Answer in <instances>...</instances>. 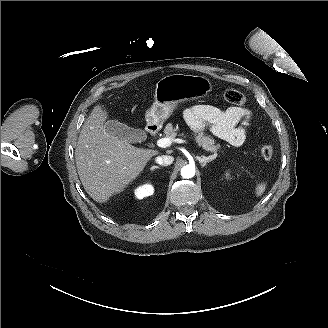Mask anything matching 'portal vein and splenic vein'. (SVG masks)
Listing matches in <instances>:
<instances>
[{
	"label": "portal vein and splenic vein",
	"instance_id": "18ae733b",
	"mask_svg": "<svg viewBox=\"0 0 328 328\" xmlns=\"http://www.w3.org/2000/svg\"><path fill=\"white\" fill-rule=\"evenodd\" d=\"M172 142L184 143L185 141L183 139H179V138L173 139V140H171L170 138H161V139L157 140V145L161 148H166V147H169Z\"/></svg>",
	"mask_w": 328,
	"mask_h": 328
}]
</instances>
